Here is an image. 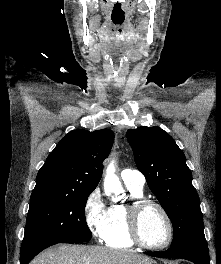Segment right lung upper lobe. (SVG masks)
Masks as SVG:
<instances>
[{
    "instance_id": "cb5924a9",
    "label": "right lung upper lobe",
    "mask_w": 221,
    "mask_h": 264,
    "mask_svg": "<svg viewBox=\"0 0 221 264\" xmlns=\"http://www.w3.org/2000/svg\"><path fill=\"white\" fill-rule=\"evenodd\" d=\"M114 141L110 129L69 132L48 156L37 174L33 192H92Z\"/></svg>"
}]
</instances>
